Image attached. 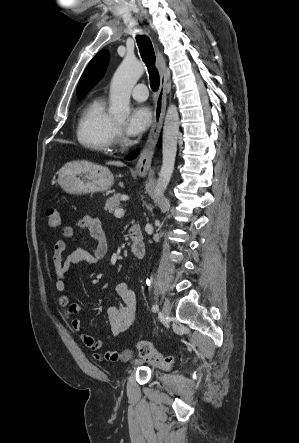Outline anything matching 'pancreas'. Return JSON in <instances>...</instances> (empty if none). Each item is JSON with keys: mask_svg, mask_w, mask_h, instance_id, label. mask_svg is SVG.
<instances>
[{"mask_svg": "<svg viewBox=\"0 0 299 443\" xmlns=\"http://www.w3.org/2000/svg\"><path fill=\"white\" fill-rule=\"evenodd\" d=\"M121 194L117 193L114 194L111 198H109L106 201L105 204V211H108L109 213H113L116 209H118L120 207L121 204Z\"/></svg>", "mask_w": 299, "mask_h": 443, "instance_id": "1", "label": "pancreas"}]
</instances>
